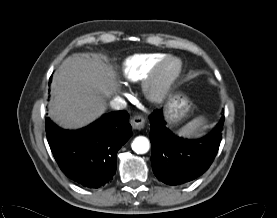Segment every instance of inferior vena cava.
I'll use <instances>...</instances> for the list:
<instances>
[{"label":"inferior vena cava","instance_id":"602c4592","mask_svg":"<svg viewBox=\"0 0 277 218\" xmlns=\"http://www.w3.org/2000/svg\"><path fill=\"white\" fill-rule=\"evenodd\" d=\"M110 104L114 110H123L127 106L126 101L120 97L114 98Z\"/></svg>","mask_w":277,"mask_h":218}]
</instances>
